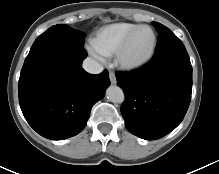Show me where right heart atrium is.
<instances>
[{"label":"right heart atrium","mask_w":219,"mask_h":174,"mask_svg":"<svg viewBox=\"0 0 219 174\" xmlns=\"http://www.w3.org/2000/svg\"><path fill=\"white\" fill-rule=\"evenodd\" d=\"M88 51L94 57L98 58L100 56V53L96 49H94V47H88Z\"/></svg>","instance_id":"d8ad5b80"}]
</instances>
